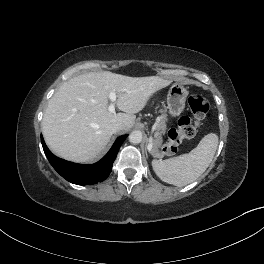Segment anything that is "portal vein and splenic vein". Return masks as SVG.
<instances>
[{
  "label": "portal vein and splenic vein",
  "instance_id": "1",
  "mask_svg": "<svg viewBox=\"0 0 264 264\" xmlns=\"http://www.w3.org/2000/svg\"><path fill=\"white\" fill-rule=\"evenodd\" d=\"M109 99L111 101V104L108 107L109 112L114 113L115 112V102L117 99L116 93L115 92H110L109 93ZM149 149L152 148V143L150 142L149 144Z\"/></svg>",
  "mask_w": 264,
  "mask_h": 264
}]
</instances>
